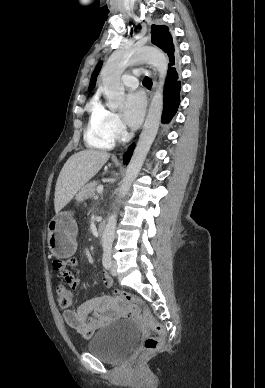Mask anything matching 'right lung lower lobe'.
I'll return each mask as SVG.
<instances>
[{
	"label": "right lung lower lobe",
	"instance_id": "98d812e1",
	"mask_svg": "<svg viewBox=\"0 0 265 388\" xmlns=\"http://www.w3.org/2000/svg\"><path fill=\"white\" fill-rule=\"evenodd\" d=\"M133 147H134V145L132 144V145L129 147L128 151L124 154V163H125V164H128V162H129V160H130V158H131L132 151H133Z\"/></svg>",
	"mask_w": 265,
	"mask_h": 388
}]
</instances>
